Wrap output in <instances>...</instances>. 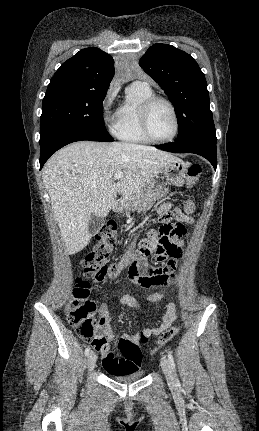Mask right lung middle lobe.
I'll use <instances>...</instances> for the list:
<instances>
[{"label": "right lung middle lobe", "instance_id": "1", "mask_svg": "<svg viewBox=\"0 0 259 431\" xmlns=\"http://www.w3.org/2000/svg\"><path fill=\"white\" fill-rule=\"evenodd\" d=\"M106 93L71 89L46 91L40 118V138L54 129L69 126L111 138L102 115Z\"/></svg>", "mask_w": 259, "mask_h": 431}]
</instances>
